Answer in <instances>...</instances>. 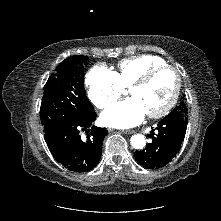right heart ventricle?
I'll return each mask as SVG.
<instances>
[{
  "label": "right heart ventricle",
  "instance_id": "obj_1",
  "mask_svg": "<svg viewBox=\"0 0 221 221\" xmlns=\"http://www.w3.org/2000/svg\"><path fill=\"white\" fill-rule=\"evenodd\" d=\"M166 62L155 55H139L121 60L114 72L123 87H130L148 69Z\"/></svg>",
  "mask_w": 221,
  "mask_h": 221
}]
</instances>
